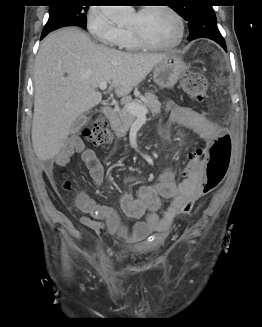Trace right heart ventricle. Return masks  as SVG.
I'll list each match as a JSON object with an SVG mask.
<instances>
[{
    "instance_id": "e07e8e85",
    "label": "right heart ventricle",
    "mask_w": 262,
    "mask_h": 327,
    "mask_svg": "<svg viewBox=\"0 0 262 327\" xmlns=\"http://www.w3.org/2000/svg\"><path fill=\"white\" fill-rule=\"evenodd\" d=\"M121 47L129 51H135L141 48L129 30H124Z\"/></svg>"
}]
</instances>
